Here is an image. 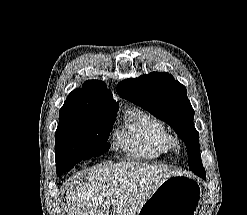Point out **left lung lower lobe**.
<instances>
[{"label":"left lung lower lobe","mask_w":247,"mask_h":215,"mask_svg":"<svg viewBox=\"0 0 247 215\" xmlns=\"http://www.w3.org/2000/svg\"><path fill=\"white\" fill-rule=\"evenodd\" d=\"M194 173H195L196 175H198L199 177L205 179V170H204V168H201V169H199V170H196V171H194Z\"/></svg>","instance_id":"left-lung-lower-lobe-1"}]
</instances>
